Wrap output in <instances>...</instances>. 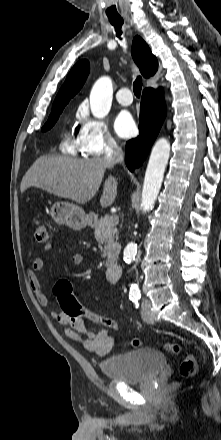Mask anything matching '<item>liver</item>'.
Segmentation results:
<instances>
[{
    "mask_svg": "<svg viewBox=\"0 0 221 440\" xmlns=\"http://www.w3.org/2000/svg\"><path fill=\"white\" fill-rule=\"evenodd\" d=\"M104 158L74 159L42 156L25 173L21 192L36 187L53 195L71 199L79 204L90 201L98 192L107 168ZM117 179L109 175L100 198L102 207L110 206L117 195Z\"/></svg>",
    "mask_w": 221,
    "mask_h": 440,
    "instance_id": "liver-1",
    "label": "liver"
}]
</instances>
